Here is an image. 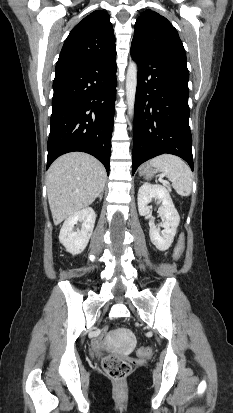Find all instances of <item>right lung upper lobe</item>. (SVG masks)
Here are the masks:
<instances>
[{
    "mask_svg": "<svg viewBox=\"0 0 233 413\" xmlns=\"http://www.w3.org/2000/svg\"><path fill=\"white\" fill-rule=\"evenodd\" d=\"M115 51V37L109 15L104 11H94L70 32L61 50L56 70Z\"/></svg>",
    "mask_w": 233,
    "mask_h": 413,
    "instance_id": "obj_1",
    "label": "right lung upper lobe"
}]
</instances>
